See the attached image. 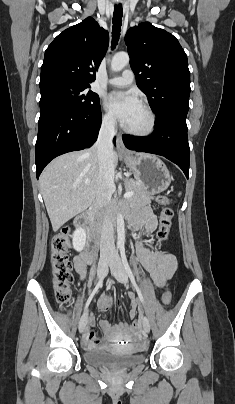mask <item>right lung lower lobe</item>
I'll return each mask as SVG.
<instances>
[{"instance_id": "right-lung-lower-lobe-1", "label": "right lung lower lobe", "mask_w": 235, "mask_h": 404, "mask_svg": "<svg viewBox=\"0 0 235 404\" xmlns=\"http://www.w3.org/2000/svg\"><path fill=\"white\" fill-rule=\"evenodd\" d=\"M100 126V106L83 113L56 107L40 110L35 146L37 178L53 158L91 147Z\"/></svg>"}]
</instances>
